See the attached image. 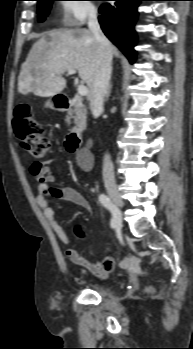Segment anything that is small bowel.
<instances>
[{
	"label": "small bowel",
	"instance_id": "1",
	"mask_svg": "<svg viewBox=\"0 0 193 349\" xmlns=\"http://www.w3.org/2000/svg\"><path fill=\"white\" fill-rule=\"evenodd\" d=\"M52 161V159H49L44 162H35L31 165V173L35 176L38 182L36 202L42 209L44 217L52 230L57 234L63 243L68 244L70 241L69 237L56 217L54 209L50 206L49 197L53 196L57 199L70 202L85 210L89 208V204L85 197L74 188L52 187L54 176L52 175L51 168L49 166ZM77 161L83 170L89 171L92 169L93 156L91 153L81 154L77 158ZM67 256L73 264L88 270L101 280L106 279L109 273L115 268L114 260L107 256L103 257L98 262H91L76 249H69L67 251Z\"/></svg>",
	"mask_w": 193,
	"mask_h": 349
}]
</instances>
